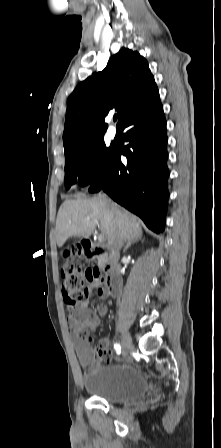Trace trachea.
I'll return each instance as SVG.
<instances>
[{
    "mask_svg": "<svg viewBox=\"0 0 221 448\" xmlns=\"http://www.w3.org/2000/svg\"><path fill=\"white\" fill-rule=\"evenodd\" d=\"M113 120L116 121L117 120V115L113 116Z\"/></svg>",
    "mask_w": 221,
    "mask_h": 448,
    "instance_id": "1",
    "label": "trachea"
}]
</instances>
